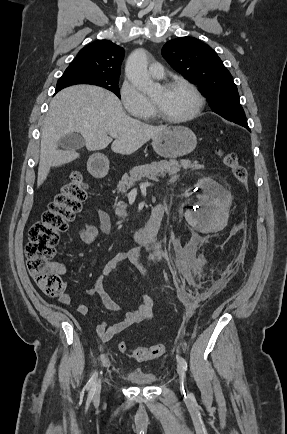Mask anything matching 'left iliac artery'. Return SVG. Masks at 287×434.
Segmentation results:
<instances>
[{"instance_id":"1","label":"left iliac artery","mask_w":287,"mask_h":434,"mask_svg":"<svg viewBox=\"0 0 287 434\" xmlns=\"http://www.w3.org/2000/svg\"><path fill=\"white\" fill-rule=\"evenodd\" d=\"M178 362H179V367H181L186 372L188 369L186 360L182 357H178Z\"/></svg>"}]
</instances>
